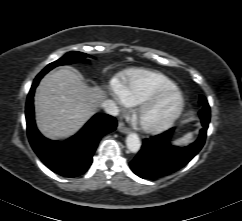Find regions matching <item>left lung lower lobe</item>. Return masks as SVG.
Masks as SVG:
<instances>
[{
    "mask_svg": "<svg viewBox=\"0 0 242 221\" xmlns=\"http://www.w3.org/2000/svg\"><path fill=\"white\" fill-rule=\"evenodd\" d=\"M200 119L202 128L199 136L194 143L188 146L176 147L170 144L175 128L144 139L141 150L130 162L131 170L143 179H156L185 166L198 154L205 143L210 121L209 105L206 113Z\"/></svg>",
    "mask_w": 242,
    "mask_h": 221,
    "instance_id": "obj_1",
    "label": "left lung lower lobe"
}]
</instances>
